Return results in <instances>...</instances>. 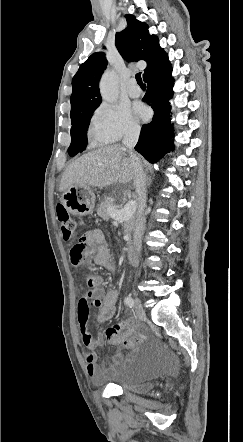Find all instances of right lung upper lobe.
Returning <instances> with one entry per match:
<instances>
[{
	"instance_id": "right-lung-upper-lobe-1",
	"label": "right lung upper lobe",
	"mask_w": 243,
	"mask_h": 442,
	"mask_svg": "<svg viewBox=\"0 0 243 442\" xmlns=\"http://www.w3.org/2000/svg\"><path fill=\"white\" fill-rule=\"evenodd\" d=\"M128 26L115 36V45L123 58L129 61L144 60L147 67L143 77L154 68L164 57L165 52L159 46L158 38L150 35L148 26L126 15ZM107 59L104 52L93 53L72 79L71 120L80 114L96 109L101 103L99 80L106 68Z\"/></svg>"
}]
</instances>
